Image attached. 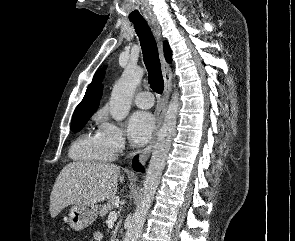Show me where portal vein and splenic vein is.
<instances>
[{
    "instance_id": "portal-vein-and-splenic-vein-1",
    "label": "portal vein and splenic vein",
    "mask_w": 295,
    "mask_h": 241,
    "mask_svg": "<svg viewBox=\"0 0 295 241\" xmlns=\"http://www.w3.org/2000/svg\"><path fill=\"white\" fill-rule=\"evenodd\" d=\"M109 220H116L117 219V213L115 211L110 212L108 215Z\"/></svg>"
}]
</instances>
